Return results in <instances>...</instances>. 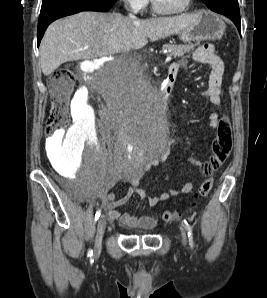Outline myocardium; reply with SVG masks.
<instances>
[{"mask_svg":"<svg viewBox=\"0 0 267 298\" xmlns=\"http://www.w3.org/2000/svg\"><path fill=\"white\" fill-rule=\"evenodd\" d=\"M192 3H193V0H187L185 6L181 10H179V11H165L160 8V6L158 5L156 0H151V6H152L153 11L155 13H157L159 15H163V16H177V15L184 14L185 12H187L190 9Z\"/></svg>","mask_w":267,"mask_h":298,"instance_id":"1","label":"myocardium"}]
</instances>
